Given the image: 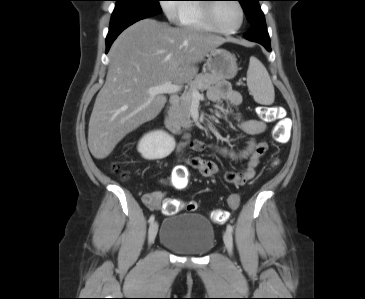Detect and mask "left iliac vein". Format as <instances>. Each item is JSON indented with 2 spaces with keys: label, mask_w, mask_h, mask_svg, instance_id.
I'll return each mask as SVG.
<instances>
[{
  "label": "left iliac vein",
  "mask_w": 365,
  "mask_h": 299,
  "mask_svg": "<svg viewBox=\"0 0 365 299\" xmlns=\"http://www.w3.org/2000/svg\"><path fill=\"white\" fill-rule=\"evenodd\" d=\"M224 243L227 248V251L230 255L233 253V238L230 231H225L224 233Z\"/></svg>",
  "instance_id": "obj_1"
}]
</instances>
